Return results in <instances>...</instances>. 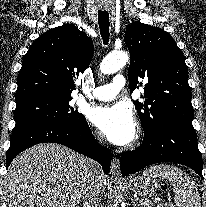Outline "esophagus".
Wrapping results in <instances>:
<instances>
[{
    "mask_svg": "<svg viewBox=\"0 0 206 207\" xmlns=\"http://www.w3.org/2000/svg\"><path fill=\"white\" fill-rule=\"evenodd\" d=\"M111 172L112 175L116 178H119L121 175L120 172V160L118 157H113L112 158V163H111Z\"/></svg>",
    "mask_w": 206,
    "mask_h": 207,
    "instance_id": "obj_1",
    "label": "esophagus"
}]
</instances>
